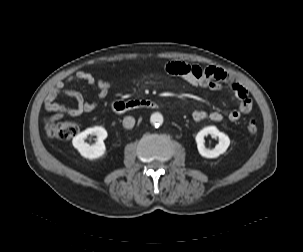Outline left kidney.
I'll use <instances>...</instances> for the list:
<instances>
[{
	"instance_id": "left-kidney-1",
	"label": "left kidney",
	"mask_w": 303,
	"mask_h": 252,
	"mask_svg": "<svg viewBox=\"0 0 303 252\" xmlns=\"http://www.w3.org/2000/svg\"><path fill=\"white\" fill-rule=\"evenodd\" d=\"M208 134L219 138V143L213 149H207L204 145V137ZM197 148L201 156L206 158H217L223 154L230 145L229 137L220 132L215 126H208L200 130L196 136Z\"/></svg>"
}]
</instances>
